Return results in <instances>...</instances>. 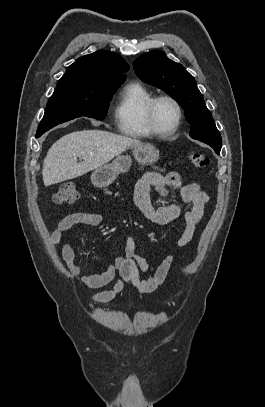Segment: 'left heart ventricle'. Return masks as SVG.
<instances>
[{
    "label": "left heart ventricle",
    "instance_id": "b2bd125f",
    "mask_svg": "<svg viewBox=\"0 0 265 407\" xmlns=\"http://www.w3.org/2000/svg\"><path fill=\"white\" fill-rule=\"evenodd\" d=\"M177 119V110L175 106L163 100L159 102L156 108V122L161 130H169L173 127Z\"/></svg>",
    "mask_w": 265,
    "mask_h": 407
}]
</instances>
